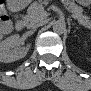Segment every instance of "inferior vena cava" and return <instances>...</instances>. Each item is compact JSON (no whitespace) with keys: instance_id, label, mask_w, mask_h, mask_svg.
<instances>
[{"instance_id":"1","label":"inferior vena cava","mask_w":91,"mask_h":91,"mask_svg":"<svg viewBox=\"0 0 91 91\" xmlns=\"http://www.w3.org/2000/svg\"><path fill=\"white\" fill-rule=\"evenodd\" d=\"M44 24V21H37V22H31L27 25V28H32V29H36L39 26H42Z\"/></svg>"}]
</instances>
